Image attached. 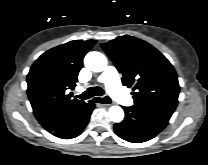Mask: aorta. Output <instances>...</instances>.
Returning <instances> with one entry per match:
<instances>
[{
  "instance_id": "aorta-1",
  "label": "aorta",
  "mask_w": 208,
  "mask_h": 165,
  "mask_svg": "<svg viewBox=\"0 0 208 165\" xmlns=\"http://www.w3.org/2000/svg\"><path fill=\"white\" fill-rule=\"evenodd\" d=\"M84 64L93 72H102L107 67V59L102 53L92 51L86 54ZM108 115L111 121L119 123L124 118V111L120 106L114 105L109 108Z\"/></svg>"
}]
</instances>
